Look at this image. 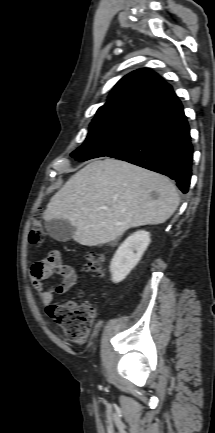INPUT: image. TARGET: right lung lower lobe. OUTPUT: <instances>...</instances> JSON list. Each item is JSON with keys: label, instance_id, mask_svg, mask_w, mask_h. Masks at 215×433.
Masks as SVG:
<instances>
[{"label": "right lung lower lobe", "instance_id": "98d812e1", "mask_svg": "<svg viewBox=\"0 0 215 433\" xmlns=\"http://www.w3.org/2000/svg\"><path fill=\"white\" fill-rule=\"evenodd\" d=\"M108 157L161 173L187 193L192 174L190 128L178 98L151 114L137 135Z\"/></svg>", "mask_w": 215, "mask_h": 433}]
</instances>
